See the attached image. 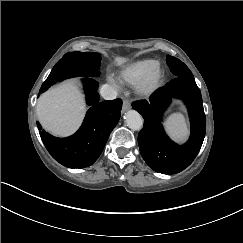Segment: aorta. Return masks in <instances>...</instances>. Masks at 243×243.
Masks as SVG:
<instances>
[{
    "label": "aorta",
    "mask_w": 243,
    "mask_h": 243,
    "mask_svg": "<svg viewBox=\"0 0 243 243\" xmlns=\"http://www.w3.org/2000/svg\"><path fill=\"white\" fill-rule=\"evenodd\" d=\"M125 122L128 128L134 131H139L143 127V118L135 110H129L125 113Z\"/></svg>",
    "instance_id": "aorta-1"
}]
</instances>
